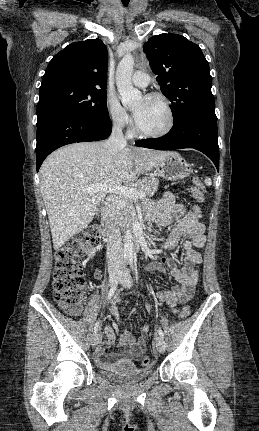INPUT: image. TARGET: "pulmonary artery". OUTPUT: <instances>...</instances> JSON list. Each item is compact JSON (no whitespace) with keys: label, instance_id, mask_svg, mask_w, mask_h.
<instances>
[{"label":"pulmonary artery","instance_id":"obj_1","mask_svg":"<svg viewBox=\"0 0 259 431\" xmlns=\"http://www.w3.org/2000/svg\"><path fill=\"white\" fill-rule=\"evenodd\" d=\"M132 83L140 88H144L149 83V76L143 71H136L132 77Z\"/></svg>","mask_w":259,"mask_h":431}]
</instances>
